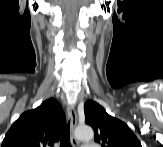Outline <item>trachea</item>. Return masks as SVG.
Returning a JSON list of instances; mask_svg holds the SVG:
<instances>
[{
	"instance_id": "1",
	"label": "trachea",
	"mask_w": 163,
	"mask_h": 147,
	"mask_svg": "<svg viewBox=\"0 0 163 147\" xmlns=\"http://www.w3.org/2000/svg\"><path fill=\"white\" fill-rule=\"evenodd\" d=\"M60 147H71V144H70V123L69 122L63 129L61 141H60Z\"/></svg>"
}]
</instances>
